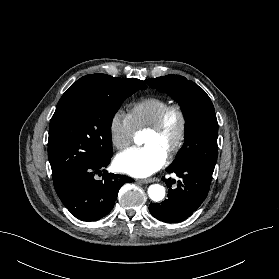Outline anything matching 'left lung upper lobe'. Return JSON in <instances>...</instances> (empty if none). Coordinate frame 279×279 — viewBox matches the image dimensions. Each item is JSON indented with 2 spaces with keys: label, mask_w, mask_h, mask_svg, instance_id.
I'll return each mask as SVG.
<instances>
[{
  "label": "left lung upper lobe",
  "mask_w": 279,
  "mask_h": 279,
  "mask_svg": "<svg viewBox=\"0 0 279 279\" xmlns=\"http://www.w3.org/2000/svg\"><path fill=\"white\" fill-rule=\"evenodd\" d=\"M146 83L174 98L185 117V141L170 166L192 165L213 173L218 155V123L209 96L180 75L150 78Z\"/></svg>",
  "instance_id": "1"
}]
</instances>
